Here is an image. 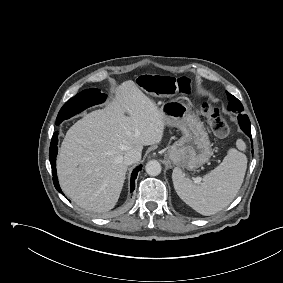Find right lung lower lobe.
<instances>
[{
	"label": "right lung lower lobe",
	"mask_w": 283,
	"mask_h": 283,
	"mask_svg": "<svg viewBox=\"0 0 283 283\" xmlns=\"http://www.w3.org/2000/svg\"><path fill=\"white\" fill-rule=\"evenodd\" d=\"M57 143H58V132H55L52 136V141L50 144V151H49V157H50V163L52 168V174H53V182L55 188L62 193L61 188L59 187V182L57 179V173H56V156H57ZM142 165L136 167L131 175V192L135 188V179L137 177L138 172L141 170Z\"/></svg>",
	"instance_id": "1"
}]
</instances>
